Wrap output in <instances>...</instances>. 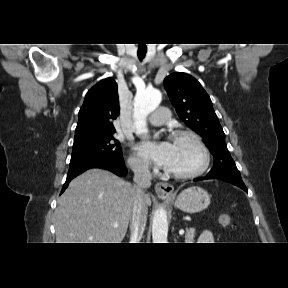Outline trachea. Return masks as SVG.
<instances>
[{
    "label": "trachea",
    "instance_id": "obj_1",
    "mask_svg": "<svg viewBox=\"0 0 288 288\" xmlns=\"http://www.w3.org/2000/svg\"><path fill=\"white\" fill-rule=\"evenodd\" d=\"M146 52H147V49L146 48H143V49H138V52H137V55H138V58L142 61L146 55Z\"/></svg>",
    "mask_w": 288,
    "mask_h": 288
}]
</instances>
